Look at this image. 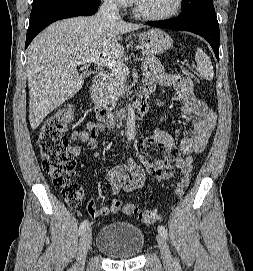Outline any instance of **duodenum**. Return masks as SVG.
Instances as JSON below:
<instances>
[{
    "label": "duodenum",
    "instance_id": "duodenum-1",
    "mask_svg": "<svg viewBox=\"0 0 253 271\" xmlns=\"http://www.w3.org/2000/svg\"><path fill=\"white\" fill-rule=\"evenodd\" d=\"M105 74L104 72H98L94 75L92 81V87L90 89V98L93 112L97 120L106 126H115L118 122L116 113L109 106L103 104L98 99V88L104 82ZM150 109V93L145 91L137 103L132 106L129 110L136 115H144Z\"/></svg>",
    "mask_w": 253,
    "mask_h": 271
}]
</instances>
